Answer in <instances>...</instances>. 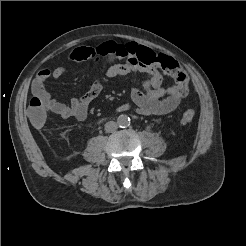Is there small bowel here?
<instances>
[{"label":"small bowel","mask_w":246,"mask_h":246,"mask_svg":"<svg viewBox=\"0 0 246 246\" xmlns=\"http://www.w3.org/2000/svg\"><path fill=\"white\" fill-rule=\"evenodd\" d=\"M136 49L135 43L118 44L108 41L97 46L77 47L70 52L69 60L73 62L104 60L107 64L104 75L107 78L124 76L132 72H142L148 75L142 89L133 88L131 90L132 103L118 106L117 111L134 109L147 116H163L174 111L180 105L183 97L167 93L165 73L158 67L140 64L134 57ZM66 71L65 66H58L53 70L48 68L40 70L32 82V94L45 99L50 112L58 117L62 119L75 117L84 120L88 115L90 103L101 93L103 84L100 80H95L84 95L72 98L68 103L59 102L47 92L45 82L49 78L62 77Z\"/></svg>","instance_id":"1"}]
</instances>
